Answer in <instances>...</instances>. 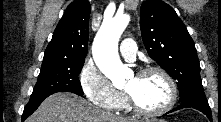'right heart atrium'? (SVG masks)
I'll return each mask as SVG.
<instances>
[{
    "instance_id": "obj_1",
    "label": "right heart atrium",
    "mask_w": 221,
    "mask_h": 122,
    "mask_svg": "<svg viewBox=\"0 0 221 122\" xmlns=\"http://www.w3.org/2000/svg\"><path fill=\"white\" fill-rule=\"evenodd\" d=\"M79 83L88 100L106 110H115L123 96L91 59L83 64Z\"/></svg>"
}]
</instances>
